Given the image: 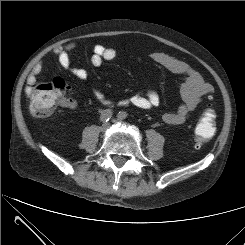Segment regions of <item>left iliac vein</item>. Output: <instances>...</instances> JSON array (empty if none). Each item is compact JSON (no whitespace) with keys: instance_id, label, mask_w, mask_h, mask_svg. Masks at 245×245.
<instances>
[{"instance_id":"1","label":"left iliac vein","mask_w":245,"mask_h":245,"mask_svg":"<svg viewBox=\"0 0 245 245\" xmlns=\"http://www.w3.org/2000/svg\"><path fill=\"white\" fill-rule=\"evenodd\" d=\"M122 120L123 119H121V118L118 117V118L115 119V122H122Z\"/></svg>"}]
</instances>
